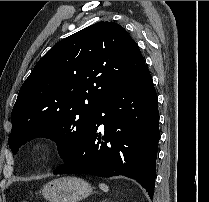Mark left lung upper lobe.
Returning <instances> with one entry per match:
<instances>
[{"mask_svg":"<svg viewBox=\"0 0 209 202\" xmlns=\"http://www.w3.org/2000/svg\"><path fill=\"white\" fill-rule=\"evenodd\" d=\"M144 66L138 45L115 22H98L56 43L20 88L11 114L12 153L46 137L65 160L84 138L96 105Z\"/></svg>","mask_w":209,"mask_h":202,"instance_id":"1","label":"left lung upper lobe"}]
</instances>
